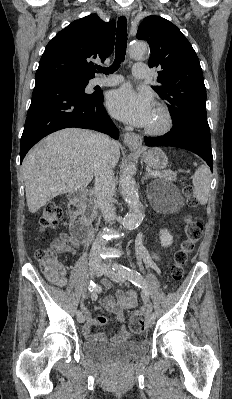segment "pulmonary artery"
<instances>
[{"instance_id":"e3ab8cb5","label":"pulmonary artery","mask_w":232,"mask_h":399,"mask_svg":"<svg viewBox=\"0 0 232 399\" xmlns=\"http://www.w3.org/2000/svg\"><path fill=\"white\" fill-rule=\"evenodd\" d=\"M144 68H145L144 63H135L134 69L132 70V75L135 76L137 80H145L146 76L148 75V70ZM126 83H127V78L118 77V75H115V77H107L106 81L102 80L99 77H96L95 79L92 80L93 86L97 85L113 86L115 84H126Z\"/></svg>"}]
</instances>
